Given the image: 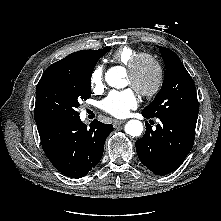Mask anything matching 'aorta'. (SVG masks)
<instances>
[{"label": "aorta", "mask_w": 221, "mask_h": 221, "mask_svg": "<svg viewBox=\"0 0 221 221\" xmlns=\"http://www.w3.org/2000/svg\"><path fill=\"white\" fill-rule=\"evenodd\" d=\"M123 69L120 67H112L105 74V80L111 87H123ZM125 132L133 137L140 136L143 132V124L139 120H130L125 125Z\"/></svg>", "instance_id": "1"}]
</instances>
